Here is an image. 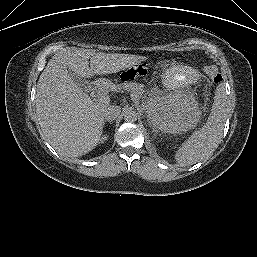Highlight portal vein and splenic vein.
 <instances>
[{"label":"portal vein and splenic vein","mask_w":257,"mask_h":257,"mask_svg":"<svg viewBox=\"0 0 257 257\" xmlns=\"http://www.w3.org/2000/svg\"><path fill=\"white\" fill-rule=\"evenodd\" d=\"M99 101L102 102V103H107V98L105 96H101L99 98Z\"/></svg>","instance_id":"portal-vein-and-splenic-vein-1"}]
</instances>
